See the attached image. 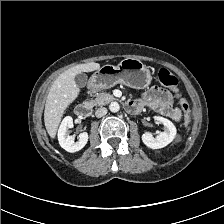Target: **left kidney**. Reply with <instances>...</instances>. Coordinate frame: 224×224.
Instances as JSON below:
<instances>
[{"label": "left kidney", "mask_w": 224, "mask_h": 224, "mask_svg": "<svg viewBox=\"0 0 224 224\" xmlns=\"http://www.w3.org/2000/svg\"><path fill=\"white\" fill-rule=\"evenodd\" d=\"M154 119L162 123L166 130L160 132L155 138L151 133L146 132L142 135V141L151 149H160L166 147L174 140L176 136V127L170 120L164 117L155 116Z\"/></svg>", "instance_id": "obj_1"}]
</instances>
